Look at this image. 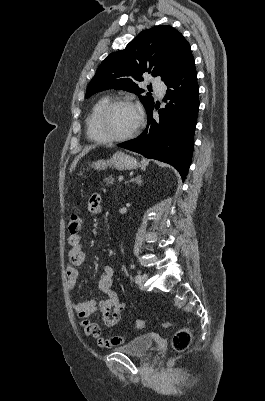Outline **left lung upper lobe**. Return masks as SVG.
<instances>
[{"label":"left lung upper lobe","instance_id":"obj_1","mask_svg":"<svg viewBox=\"0 0 265 401\" xmlns=\"http://www.w3.org/2000/svg\"><path fill=\"white\" fill-rule=\"evenodd\" d=\"M190 56L189 43L173 27L160 25L144 30L125 49L110 54L100 64L85 98L110 88L123 89L139 95L147 111L153 107L154 100L140 95L144 90L136 82L142 81V74L160 76L165 83Z\"/></svg>","mask_w":265,"mask_h":401}]
</instances>
